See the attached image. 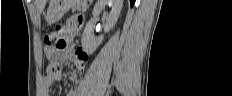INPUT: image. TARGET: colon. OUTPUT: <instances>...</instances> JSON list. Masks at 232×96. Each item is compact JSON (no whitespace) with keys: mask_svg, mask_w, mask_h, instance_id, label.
<instances>
[{"mask_svg":"<svg viewBox=\"0 0 232 96\" xmlns=\"http://www.w3.org/2000/svg\"><path fill=\"white\" fill-rule=\"evenodd\" d=\"M69 22H72V20ZM61 32L62 26L58 25L54 31L45 37L46 54L54 62L50 65L52 72H57L60 69L59 65L55 63V61L60 59L61 52L66 47V43Z\"/></svg>","mask_w":232,"mask_h":96,"instance_id":"colon-1","label":"colon"}]
</instances>
